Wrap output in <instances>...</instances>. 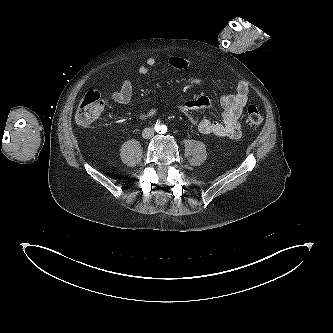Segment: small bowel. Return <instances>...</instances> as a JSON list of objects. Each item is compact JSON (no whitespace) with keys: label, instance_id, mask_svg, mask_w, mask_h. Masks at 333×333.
<instances>
[{"label":"small bowel","instance_id":"1","mask_svg":"<svg viewBox=\"0 0 333 333\" xmlns=\"http://www.w3.org/2000/svg\"><path fill=\"white\" fill-rule=\"evenodd\" d=\"M167 62L177 69H185L190 65L187 59L181 57H170ZM157 64L158 60L154 57H150L139 64L138 70L141 74H147ZM132 95V82L129 79H125L119 90L110 93V99L118 104H127L130 102ZM248 96L249 88L245 82H239L234 93L223 95L220 99L221 106L223 107L221 121L198 118L194 114L196 111L212 108V101L207 96H199L187 100L178 104L177 109L191 121L200 133L236 140L241 137L239 118L248 101ZM157 112V108H151L141 113L139 118L144 120L156 115Z\"/></svg>","mask_w":333,"mask_h":333}]
</instances>
